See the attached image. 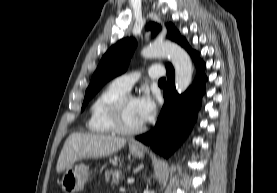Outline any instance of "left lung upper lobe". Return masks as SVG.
Returning a JSON list of instances; mask_svg holds the SVG:
<instances>
[{
  "instance_id": "left-lung-upper-lobe-1",
  "label": "left lung upper lobe",
  "mask_w": 277,
  "mask_h": 193,
  "mask_svg": "<svg viewBox=\"0 0 277 193\" xmlns=\"http://www.w3.org/2000/svg\"><path fill=\"white\" fill-rule=\"evenodd\" d=\"M146 29L152 30V36H154L159 31L160 26L155 23H150ZM167 29V38L179 43L181 46L185 45L187 41L181 38L180 33L171 23L167 24ZM136 45V40L132 38L123 39L105 53L86 90L82 110L106 82L126 71Z\"/></svg>"
}]
</instances>
